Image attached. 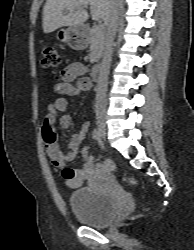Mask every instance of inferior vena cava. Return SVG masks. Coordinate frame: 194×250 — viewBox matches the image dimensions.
<instances>
[{
    "mask_svg": "<svg viewBox=\"0 0 194 250\" xmlns=\"http://www.w3.org/2000/svg\"><path fill=\"white\" fill-rule=\"evenodd\" d=\"M119 2L112 0L109 16L105 22L107 33L104 43L103 59L99 69L96 90V119L103 120L106 112V94L108 87V75L112 60L113 43L119 24Z\"/></svg>",
    "mask_w": 194,
    "mask_h": 250,
    "instance_id": "obj_1",
    "label": "inferior vena cava"
}]
</instances>
